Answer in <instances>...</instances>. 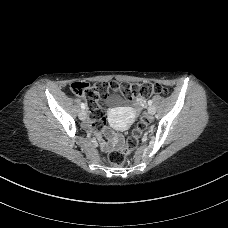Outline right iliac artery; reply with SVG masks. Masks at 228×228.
I'll return each mask as SVG.
<instances>
[{"mask_svg":"<svg viewBox=\"0 0 228 228\" xmlns=\"http://www.w3.org/2000/svg\"><path fill=\"white\" fill-rule=\"evenodd\" d=\"M81 108L84 110L86 108L84 103H81Z\"/></svg>","mask_w":228,"mask_h":228,"instance_id":"right-iliac-artery-1","label":"right iliac artery"}]
</instances>
